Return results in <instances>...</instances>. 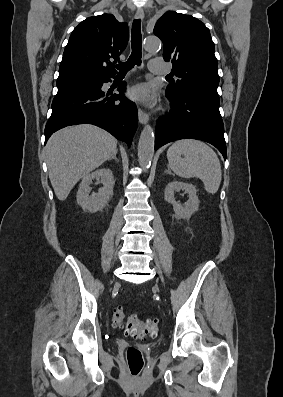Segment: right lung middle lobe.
Returning a JSON list of instances; mask_svg holds the SVG:
<instances>
[{"instance_id": "dd1d6c3e", "label": "right lung middle lobe", "mask_w": 283, "mask_h": 397, "mask_svg": "<svg viewBox=\"0 0 283 397\" xmlns=\"http://www.w3.org/2000/svg\"><path fill=\"white\" fill-rule=\"evenodd\" d=\"M98 80H88V79H79V80H71V81H57L58 89H63L72 85H80V84H92Z\"/></svg>"}]
</instances>
